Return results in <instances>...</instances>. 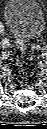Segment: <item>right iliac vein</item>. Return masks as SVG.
I'll list each match as a JSON object with an SVG mask.
<instances>
[{
    "instance_id": "right-iliac-vein-1",
    "label": "right iliac vein",
    "mask_w": 47,
    "mask_h": 129,
    "mask_svg": "<svg viewBox=\"0 0 47 129\" xmlns=\"http://www.w3.org/2000/svg\"><path fill=\"white\" fill-rule=\"evenodd\" d=\"M9 45H10L9 42H7L6 44H2V47L7 48V47H9Z\"/></svg>"
}]
</instances>
